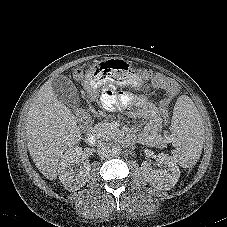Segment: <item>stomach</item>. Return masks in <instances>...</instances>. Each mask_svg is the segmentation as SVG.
I'll return each mask as SVG.
<instances>
[{"label": "stomach", "mask_w": 227, "mask_h": 227, "mask_svg": "<svg viewBox=\"0 0 227 227\" xmlns=\"http://www.w3.org/2000/svg\"><path fill=\"white\" fill-rule=\"evenodd\" d=\"M84 83L92 90V87H105L108 83H115L121 87L123 84L137 85L138 72L131 62H123L113 59L110 62L93 60L84 71Z\"/></svg>", "instance_id": "stomach-1"}]
</instances>
